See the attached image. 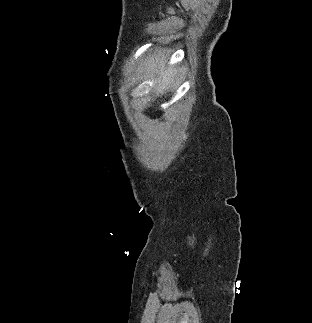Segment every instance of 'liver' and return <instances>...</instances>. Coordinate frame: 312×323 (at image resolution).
<instances>
[{"mask_svg":"<svg viewBox=\"0 0 312 323\" xmlns=\"http://www.w3.org/2000/svg\"><path fill=\"white\" fill-rule=\"evenodd\" d=\"M170 52V50H169ZM152 76L159 74V78L156 82L155 92L157 96H164L169 92L172 84H174V78L177 76L179 70L175 66H170V68H165V62L159 60V64H153L151 68Z\"/></svg>","mask_w":312,"mask_h":323,"instance_id":"6515ba94","label":"liver"}]
</instances>
